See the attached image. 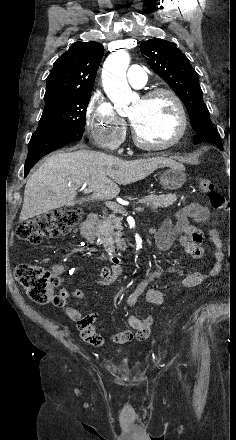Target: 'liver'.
<instances>
[{
  "label": "liver",
  "instance_id": "obj_1",
  "mask_svg": "<svg viewBox=\"0 0 236 440\" xmlns=\"http://www.w3.org/2000/svg\"><path fill=\"white\" fill-rule=\"evenodd\" d=\"M173 162L165 157L127 161L84 149L58 152L28 179L19 220L23 222L53 209L74 206L76 189L80 186L92 190V195L81 201L112 199L119 194V185L142 180Z\"/></svg>",
  "mask_w": 236,
  "mask_h": 440
}]
</instances>
